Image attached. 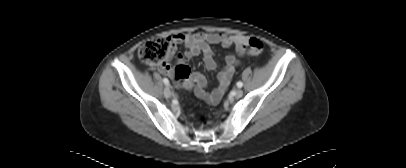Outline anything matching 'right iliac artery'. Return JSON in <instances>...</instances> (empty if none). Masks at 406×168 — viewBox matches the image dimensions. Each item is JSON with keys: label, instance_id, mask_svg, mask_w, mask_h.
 <instances>
[{"label": "right iliac artery", "instance_id": "right-iliac-artery-1", "mask_svg": "<svg viewBox=\"0 0 406 168\" xmlns=\"http://www.w3.org/2000/svg\"><path fill=\"white\" fill-rule=\"evenodd\" d=\"M163 82H164V84H165L166 86H169V80H168L167 78H164V79H163Z\"/></svg>", "mask_w": 406, "mask_h": 168}]
</instances>
